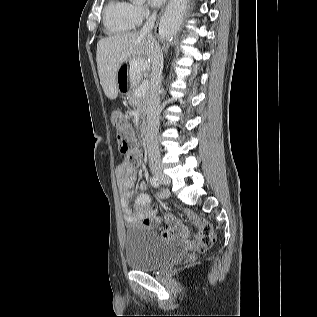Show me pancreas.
<instances>
[{"label":"pancreas","mask_w":317,"mask_h":317,"mask_svg":"<svg viewBox=\"0 0 317 317\" xmlns=\"http://www.w3.org/2000/svg\"><path fill=\"white\" fill-rule=\"evenodd\" d=\"M137 76H139V79H140L141 72H139V74ZM140 87L141 86L139 84L138 85L135 84L134 86H130L129 92L127 94V99L129 101V103H135L137 105L139 114L143 118L144 114H145L146 100L147 99H146V95H142V96L135 95V93L138 91V89Z\"/></svg>","instance_id":"1"}]
</instances>
